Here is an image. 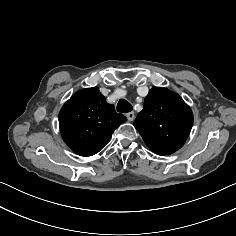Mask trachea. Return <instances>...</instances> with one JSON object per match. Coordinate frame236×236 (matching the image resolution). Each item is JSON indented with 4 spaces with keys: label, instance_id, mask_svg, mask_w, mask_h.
<instances>
[{
    "label": "trachea",
    "instance_id": "1",
    "mask_svg": "<svg viewBox=\"0 0 236 236\" xmlns=\"http://www.w3.org/2000/svg\"><path fill=\"white\" fill-rule=\"evenodd\" d=\"M133 107L132 105L126 101L125 99H120L117 104V111L121 113H128L132 111Z\"/></svg>",
    "mask_w": 236,
    "mask_h": 236
}]
</instances>
